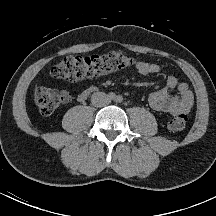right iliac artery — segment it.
<instances>
[{"label": "right iliac artery", "instance_id": "right-iliac-artery-1", "mask_svg": "<svg viewBox=\"0 0 216 216\" xmlns=\"http://www.w3.org/2000/svg\"><path fill=\"white\" fill-rule=\"evenodd\" d=\"M108 97L110 99H115L116 96H115V94L113 92H111V93H109Z\"/></svg>", "mask_w": 216, "mask_h": 216}]
</instances>
